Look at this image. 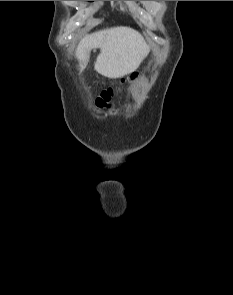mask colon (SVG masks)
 <instances>
[{"label": "colon", "mask_w": 233, "mask_h": 295, "mask_svg": "<svg viewBox=\"0 0 233 295\" xmlns=\"http://www.w3.org/2000/svg\"><path fill=\"white\" fill-rule=\"evenodd\" d=\"M136 74L131 75V79L135 78ZM121 82H125V78L121 79ZM115 94V89L113 87H109L102 91L100 96L96 100V105L99 109H106L110 106V101Z\"/></svg>", "instance_id": "obj_1"}]
</instances>
